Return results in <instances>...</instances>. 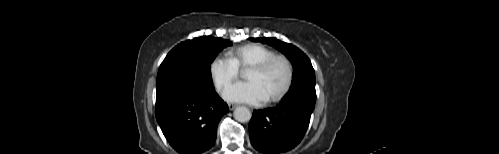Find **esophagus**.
<instances>
[{"mask_svg": "<svg viewBox=\"0 0 499 154\" xmlns=\"http://www.w3.org/2000/svg\"><path fill=\"white\" fill-rule=\"evenodd\" d=\"M228 107H229V110H234L237 107V105L234 103H229Z\"/></svg>", "mask_w": 499, "mask_h": 154, "instance_id": "esophagus-1", "label": "esophagus"}]
</instances>
